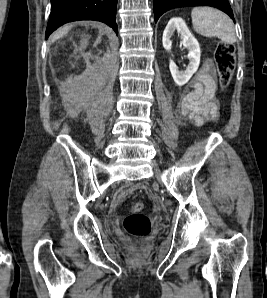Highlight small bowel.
Returning <instances> with one entry per match:
<instances>
[{
  "label": "small bowel",
  "instance_id": "obj_1",
  "mask_svg": "<svg viewBox=\"0 0 267 298\" xmlns=\"http://www.w3.org/2000/svg\"><path fill=\"white\" fill-rule=\"evenodd\" d=\"M180 104L181 113L197 126L216 120L218 103L215 98V73L207 62L189 85Z\"/></svg>",
  "mask_w": 267,
  "mask_h": 298
}]
</instances>
